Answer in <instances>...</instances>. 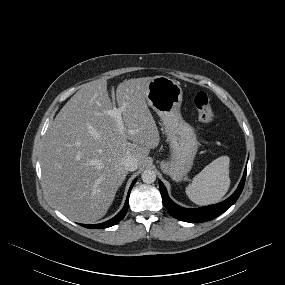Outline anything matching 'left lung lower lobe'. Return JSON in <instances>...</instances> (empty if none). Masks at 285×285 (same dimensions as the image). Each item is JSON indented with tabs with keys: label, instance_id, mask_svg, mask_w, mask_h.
I'll return each instance as SVG.
<instances>
[{
	"label": "left lung lower lobe",
	"instance_id": "0a47b994",
	"mask_svg": "<svg viewBox=\"0 0 285 285\" xmlns=\"http://www.w3.org/2000/svg\"><path fill=\"white\" fill-rule=\"evenodd\" d=\"M246 170L247 166L245 168L243 177L241 179L238 188L228 199H226L221 203L198 209H186L175 204L169 198L164 184L161 181H159L160 192L163 199V203L167 208V210L170 212V214L180 221L193 223V222H204L212 220L218 217L220 214L224 213L226 210H228L237 201L245 184Z\"/></svg>",
	"mask_w": 285,
	"mask_h": 285
}]
</instances>
